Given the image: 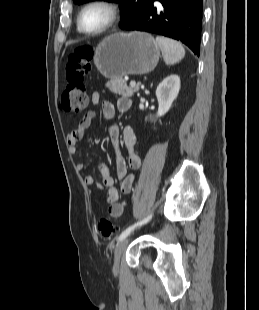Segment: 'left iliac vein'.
<instances>
[{
  "label": "left iliac vein",
  "mask_w": 259,
  "mask_h": 310,
  "mask_svg": "<svg viewBox=\"0 0 259 310\" xmlns=\"http://www.w3.org/2000/svg\"><path fill=\"white\" fill-rule=\"evenodd\" d=\"M128 243H129V238L126 237L117 244L114 250V264H113L114 273H117L119 271L120 259Z\"/></svg>",
  "instance_id": "left-iliac-vein-1"
}]
</instances>
